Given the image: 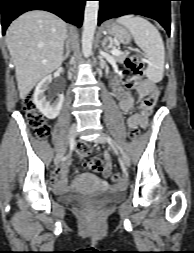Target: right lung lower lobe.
<instances>
[{"mask_svg": "<svg viewBox=\"0 0 194 253\" xmlns=\"http://www.w3.org/2000/svg\"><path fill=\"white\" fill-rule=\"evenodd\" d=\"M2 3V31L5 33L9 24L24 12L45 10L61 17L66 22L78 27L82 25L83 10L86 0H0Z\"/></svg>", "mask_w": 194, "mask_h": 253, "instance_id": "obj_1", "label": "right lung lower lobe"}]
</instances>
